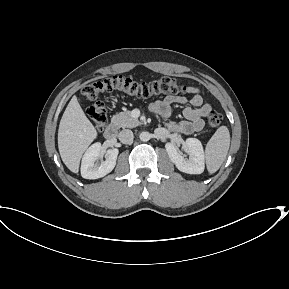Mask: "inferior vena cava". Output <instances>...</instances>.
I'll list each match as a JSON object with an SVG mask.
<instances>
[{
    "label": "inferior vena cava",
    "instance_id": "obj_1",
    "mask_svg": "<svg viewBox=\"0 0 289 289\" xmlns=\"http://www.w3.org/2000/svg\"><path fill=\"white\" fill-rule=\"evenodd\" d=\"M118 138L124 144L131 143L133 141V132L129 129H124L119 133Z\"/></svg>",
    "mask_w": 289,
    "mask_h": 289
}]
</instances>
